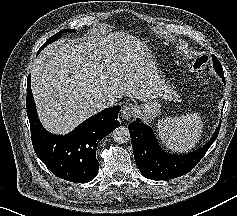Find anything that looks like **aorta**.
<instances>
[{
    "label": "aorta",
    "instance_id": "762f6f07",
    "mask_svg": "<svg viewBox=\"0 0 237 216\" xmlns=\"http://www.w3.org/2000/svg\"><path fill=\"white\" fill-rule=\"evenodd\" d=\"M112 137L118 144L128 143L131 140L129 129L125 126L115 128L112 132Z\"/></svg>",
    "mask_w": 237,
    "mask_h": 216
}]
</instances>
